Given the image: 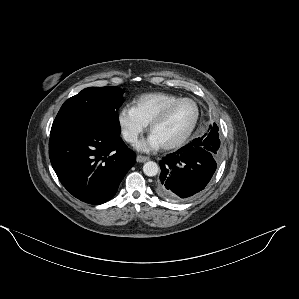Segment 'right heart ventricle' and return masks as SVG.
<instances>
[{
  "mask_svg": "<svg viewBox=\"0 0 299 299\" xmlns=\"http://www.w3.org/2000/svg\"><path fill=\"white\" fill-rule=\"evenodd\" d=\"M180 96L166 92H150L136 97L131 107L140 119L149 124L152 119L169 103Z\"/></svg>",
  "mask_w": 299,
  "mask_h": 299,
  "instance_id": "right-heart-ventricle-1",
  "label": "right heart ventricle"
}]
</instances>
